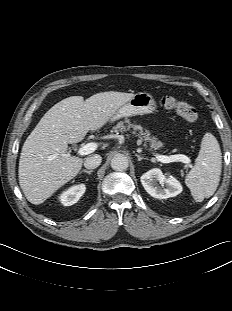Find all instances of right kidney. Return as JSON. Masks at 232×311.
<instances>
[{
  "mask_svg": "<svg viewBox=\"0 0 232 311\" xmlns=\"http://www.w3.org/2000/svg\"><path fill=\"white\" fill-rule=\"evenodd\" d=\"M86 187L84 184L72 186L68 190L62 192L59 196V200L64 206H71L80 199L84 194Z\"/></svg>",
  "mask_w": 232,
  "mask_h": 311,
  "instance_id": "obj_1",
  "label": "right kidney"
}]
</instances>
